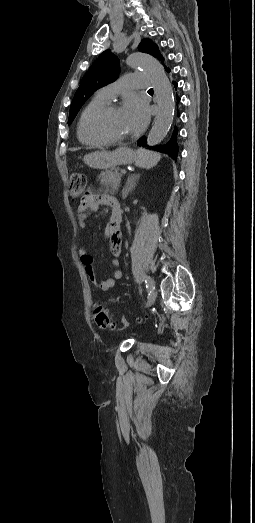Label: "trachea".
<instances>
[{"label":"trachea","instance_id":"3493384b","mask_svg":"<svg viewBox=\"0 0 255 523\" xmlns=\"http://www.w3.org/2000/svg\"><path fill=\"white\" fill-rule=\"evenodd\" d=\"M148 92H153V88H149Z\"/></svg>","mask_w":255,"mask_h":523}]
</instances>
